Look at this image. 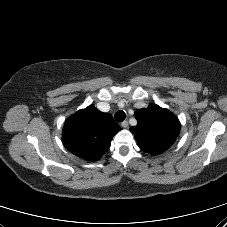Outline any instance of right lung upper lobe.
<instances>
[{
	"mask_svg": "<svg viewBox=\"0 0 227 227\" xmlns=\"http://www.w3.org/2000/svg\"><path fill=\"white\" fill-rule=\"evenodd\" d=\"M120 130L110 114L90 105L65 121L62 142L75 156L96 161L108 150L113 136Z\"/></svg>",
	"mask_w": 227,
	"mask_h": 227,
	"instance_id": "cb5924a9",
	"label": "right lung upper lobe"
}]
</instances>
